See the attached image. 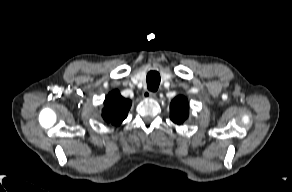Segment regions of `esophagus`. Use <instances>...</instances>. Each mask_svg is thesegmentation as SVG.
<instances>
[{"label": "esophagus", "instance_id": "1", "mask_svg": "<svg viewBox=\"0 0 292 192\" xmlns=\"http://www.w3.org/2000/svg\"><path fill=\"white\" fill-rule=\"evenodd\" d=\"M143 97L144 98H155L156 97V93L151 92V91H144L143 92Z\"/></svg>", "mask_w": 292, "mask_h": 192}]
</instances>
